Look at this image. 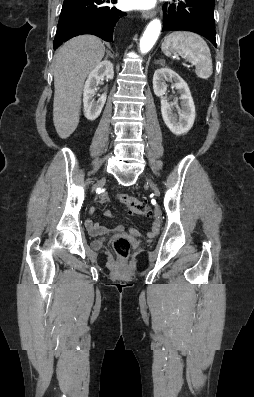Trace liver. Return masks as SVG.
Wrapping results in <instances>:
<instances>
[{
    "label": "liver",
    "instance_id": "1",
    "mask_svg": "<svg viewBox=\"0 0 254 397\" xmlns=\"http://www.w3.org/2000/svg\"><path fill=\"white\" fill-rule=\"evenodd\" d=\"M104 54V44L93 35L75 37L56 51L53 122L60 138H68L77 128L84 81Z\"/></svg>",
    "mask_w": 254,
    "mask_h": 397
}]
</instances>
